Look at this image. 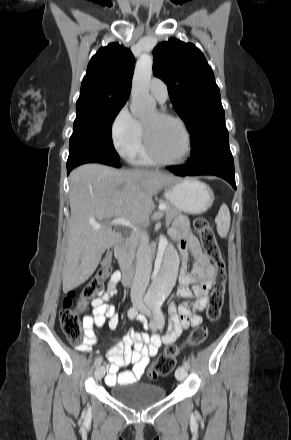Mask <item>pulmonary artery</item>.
I'll return each instance as SVG.
<instances>
[{"mask_svg":"<svg viewBox=\"0 0 291 440\" xmlns=\"http://www.w3.org/2000/svg\"><path fill=\"white\" fill-rule=\"evenodd\" d=\"M149 89L151 94L160 102L164 103L168 98V89L166 83L159 78H152Z\"/></svg>","mask_w":291,"mask_h":440,"instance_id":"1","label":"pulmonary artery"}]
</instances>
